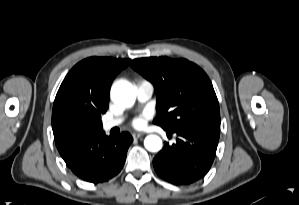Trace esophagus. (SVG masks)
Returning <instances> with one entry per match:
<instances>
[{"label":"esophagus","instance_id":"obj_1","mask_svg":"<svg viewBox=\"0 0 299 205\" xmlns=\"http://www.w3.org/2000/svg\"><path fill=\"white\" fill-rule=\"evenodd\" d=\"M132 136L134 139H138V138L142 137L143 135L141 133H134Z\"/></svg>","mask_w":299,"mask_h":205}]
</instances>
